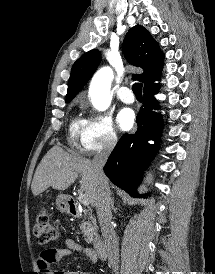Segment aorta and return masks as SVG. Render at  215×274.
I'll return each instance as SVG.
<instances>
[{"mask_svg":"<svg viewBox=\"0 0 215 274\" xmlns=\"http://www.w3.org/2000/svg\"><path fill=\"white\" fill-rule=\"evenodd\" d=\"M113 71L110 67H103L93 76L89 87V96L95 109L105 111L111 104L110 95Z\"/></svg>","mask_w":215,"mask_h":274,"instance_id":"obj_1","label":"aorta"}]
</instances>
